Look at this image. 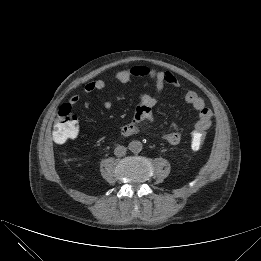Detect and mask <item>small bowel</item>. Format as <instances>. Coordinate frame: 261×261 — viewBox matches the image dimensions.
<instances>
[{"label":"small bowel","mask_w":261,"mask_h":261,"mask_svg":"<svg viewBox=\"0 0 261 261\" xmlns=\"http://www.w3.org/2000/svg\"><path fill=\"white\" fill-rule=\"evenodd\" d=\"M133 77H149L155 81L156 95L142 94L139 97V105L136 108L132 121L121 127V134L125 137L132 136L138 131V124L153 120L154 107L157 104L158 98L166 85H172L179 89H183L181 82L168 71H158L147 66L137 65L129 69L117 71L115 79L121 83L129 82ZM106 87V82L102 79H96L87 82L84 85L85 93H92L94 91H102ZM184 99L190 104L198 113V119L194 124V132L206 131L212 122V111L206 106L204 99L193 90L184 91ZM80 101L79 95H73L69 99V105H76ZM105 109L112 107L110 100H105L103 103ZM163 140L169 144L176 145L182 139V131L176 125H173L171 130L164 133Z\"/></svg>","instance_id":"obj_1"}]
</instances>
